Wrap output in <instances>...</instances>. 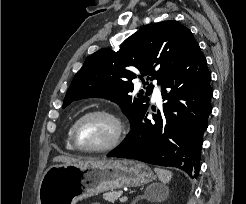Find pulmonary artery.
<instances>
[{
    "instance_id": "1",
    "label": "pulmonary artery",
    "mask_w": 246,
    "mask_h": 204,
    "mask_svg": "<svg viewBox=\"0 0 246 204\" xmlns=\"http://www.w3.org/2000/svg\"><path fill=\"white\" fill-rule=\"evenodd\" d=\"M152 99L155 102H161V91H160V87L155 86L153 89V93H152Z\"/></svg>"
}]
</instances>
